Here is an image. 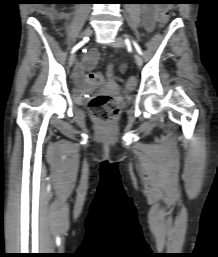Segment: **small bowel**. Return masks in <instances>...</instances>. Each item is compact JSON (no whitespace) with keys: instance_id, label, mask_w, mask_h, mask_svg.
I'll return each mask as SVG.
<instances>
[{"instance_id":"small-bowel-1","label":"small bowel","mask_w":218,"mask_h":257,"mask_svg":"<svg viewBox=\"0 0 218 257\" xmlns=\"http://www.w3.org/2000/svg\"><path fill=\"white\" fill-rule=\"evenodd\" d=\"M158 8L153 6H146L143 8L142 17L143 23L147 30L151 31L158 23L160 16H157ZM98 60V51L96 49H90L84 56L80 66L76 71V78L80 82H84L87 74H93L91 71L94 69ZM88 72V73H85ZM103 74V73H101Z\"/></svg>"}]
</instances>
